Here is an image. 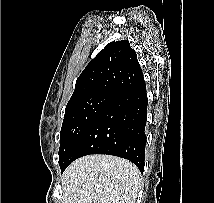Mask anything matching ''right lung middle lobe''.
<instances>
[{"instance_id": "dd1d6c3e", "label": "right lung middle lobe", "mask_w": 214, "mask_h": 203, "mask_svg": "<svg viewBox=\"0 0 214 203\" xmlns=\"http://www.w3.org/2000/svg\"><path fill=\"white\" fill-rule=\"evenodd\" d=\"M111 98L103 94H92L68 102L60 132V166Z\"/></svg>"}]
</instances>
